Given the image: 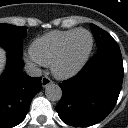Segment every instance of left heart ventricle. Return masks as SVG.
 I'll use <instances>...</instances> for the list:
<instances>
[{
  "label": "left heart ventricle",
  "instance_id": "left-heart-ventricle-1",
  "mask_svg": "<svg viewBox=\"0 0 128 128\" xmlns=\"http://www.w3.org/2000/svg\"><path fill=\"white\" fill-rule=\"evenodd\" d=\"M90 45V38L87 33H78L71 41L63 69H69L76 65L87 52Z\"/></svg>",
  "mask_w": 128,
  "mask_h": 128
}]
</instances>
